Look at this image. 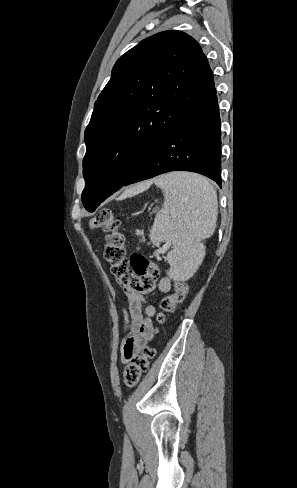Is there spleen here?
I'll return each mask as SVG.
<instances>
[{"label":"spleen","mask_w":297,"mask_h":488,"mask_svg":"<svg viewBox=\"0 0 297 488\" xmlns=\"http://www.w3.org/2000/svg\"><path fill=\"white\" fill-rule=\"evenodd\" d=\"M164 192V206L157 213L150 238L168 241L174 249L168 253L169 273L183 268L185 259L195 267L201 239L215 229L217 196L212 185L203 177L185 172H171L155 179ZM179 277V275H177Z\"/></svg>","instance_id":"1"}]
</instances>
